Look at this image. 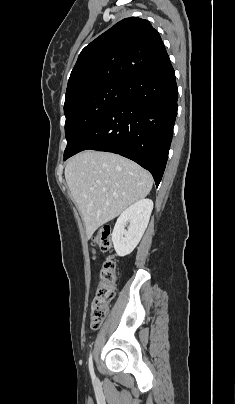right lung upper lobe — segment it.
Returning a JSON list of instances; mask_svg holds the SVG:
<instances>
[{"mask_svg": "<svg viewBox=\"0 0 235 404\" xmlns=\"http://www.w3.org/2000/svg\"><path fill=\"white\" fill-rule=\"evenodd\" d=\"M167 58L161 37L148 20L123 19L81 51L68 81L65 102L98 85L125 83Z\"/></svg>", "mask_w": 235, "mask_h": 404, "instance_id": "right-lung-upper-lobe-1", "label": "right lung upper lobe"}]
</instances>
